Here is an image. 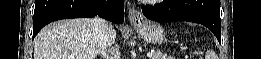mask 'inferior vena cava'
Instances as JSON below:
<instances>
[{"label": "inferior vena cava", "instance_id": "inferior-vena-cava-1", "mask_svg": "<svg viewBox=\"0 0 261 59\" xmlns=\"http://www.w3.org/2000/svg\"><path fill=\"white\" fill-rule=\"evenodd\" d=\"M92 30L95 34L96 40L101 49V55L104 59H110L107 54L108 44H109V28L108 22L102 18L95 17L92 19Z\"/></svg>", "mask_w": 261, "mask_h": 59}]
</instances>
